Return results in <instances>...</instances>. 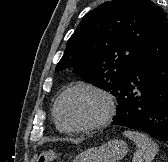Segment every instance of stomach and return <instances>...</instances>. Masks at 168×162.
I'll use <instances>...</instances> for the list:
<instances>
[{
  "label": "stomach",
  "instance_id": "1",
  "mask_svg": "<svg viewBox=\"0 0 168 162\" xmlns=\"http://www.w3.org/2000/svg\"><path fill=\"white\" fill-rule=\"evenodd\" d=\"M127 151L128 147L124 141L113 139L100 147L87 149L73 162H117L127 154Z\"/></svg>",
  "mask_w": 168,
  "mask_h": 162
}]
</instances>
